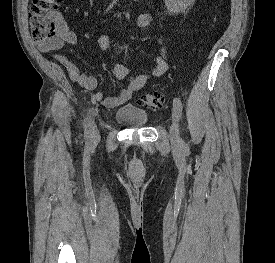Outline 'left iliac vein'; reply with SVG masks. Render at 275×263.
<instances>
[{
  "label": "left iliac vein",
  "mask_w": 275,
  "mask_h": 263,
  "mask_svg": "<svg viewBox=\"0 0 275 263\" xmlns=\"http://www.w3.org/2000/svg\"><path fill=\"white\" fill-rule=\"evenodd\" d=\"M170 139L173 144H177L180 140L179 117L176 111H174L172 114V125L170 127Z\"/></svg>",
  "instance_id": "obj_1"
}]
</instances>
